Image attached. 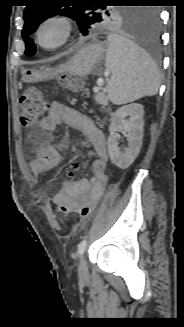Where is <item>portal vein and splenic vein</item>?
Segmentation results:
<instances>
[{"label":"portal vein and splenic vein","instance_id":"obj_1","mask_svg":"<svg viewBox=\"0 0 184 327\" xmlns=\"http://www.w3.org/2000/svg\"><path fill=\"white\" fill-rule=\"evenodd\" d=\"M104 84V79L103 78H98L97 80V86L94 87V92H98L100 90V87Z\"/></svg>","mask_w":184,"mask_h":327}]
</instances>
